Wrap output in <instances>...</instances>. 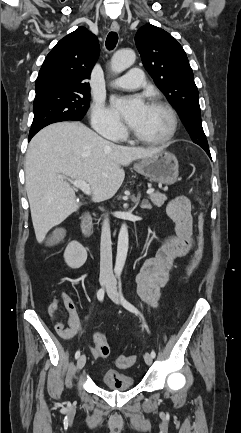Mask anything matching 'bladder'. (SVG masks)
I'll use <instances>...</instances> for the list:
<instances>
[{
  "label": "bladder",
  "mask_w": 241,
  "mask_h": 433,
  "mask_svg": "<svg viewBox=\"0 0 241 433\" xmlns=\"http://www.w3.org/2000/svg\"><path fill=\"white\" fill-rule=\"evenodd\" d=\"M101 381L109 390H128L134 387V380L130 375L116 371L105 372Z\"/></svg>",
  "instance_id": "bladder-1"
}]
</instances>
